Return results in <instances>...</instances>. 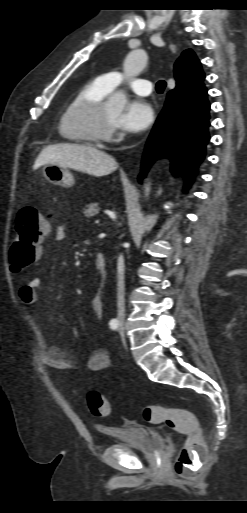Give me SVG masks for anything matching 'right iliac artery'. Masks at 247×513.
Segmentation results:
<instances>
[{"label":"right iliac artery","mask_w":247,"mask_h":513,"mask_svg":"<svg viewBox=\"0 0 247 513\" xmlns=\"http://www.w3.org/2000/svg\"><path fill=\"white\" fill-rule=\"evenodd\" d=\"M119 321L117 319H112L109 323V326L112 330H116L118 328Z\"/></svg>","instance_id":"right-iliac-artery-1"}]
</instances>
